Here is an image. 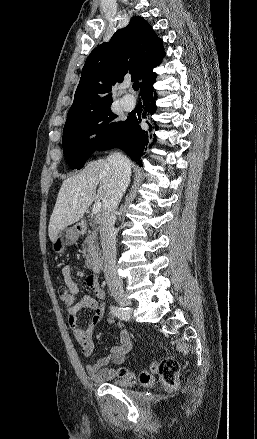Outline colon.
<instances>
[{"label":"colon","instance_id":"1","mask_svg":"<svg viewBox=\"0 0 257 439\" xmlns=\"http://www.w3.org/2000/svg\"><path fill=\"white\" fill-rule=\"evenodd\" d=\"M58 293L61 301L66 307L72 308L75 305L76 294L67 287H60ZM151 369L158 372L167 389H174L177 386L179 364L176 360L167 359L160 363H153ZM117 378L118 384L124 387L131 386L136 382H139L142 385H148L152 381V377L148 372H141L136 376L124 368L118 369Z\"/></svg>","mask_w":257,"mask_h":439}]
</instances>
